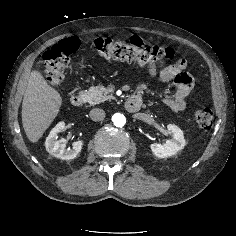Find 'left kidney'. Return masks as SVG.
I'll return each instance as SVG.
<instances>
[{"mask_svg": "<svg viewBox=\"0 0 236 236\" xmlns=\"http://www.w3.org/2000/svg\"><path fill=\"white\" fill-rule=\"evenodd\" d=\"M167 130L173 135L171 140H167L164 144L153 143L150 146L153 154L158 158H168L176 155L186 145L183 131L178 126L168 124Z\"/></svg>", "mask_w": 236, "mask_h": 236, "instance_id": "1", "label": "left kidney"}]
</instances>
